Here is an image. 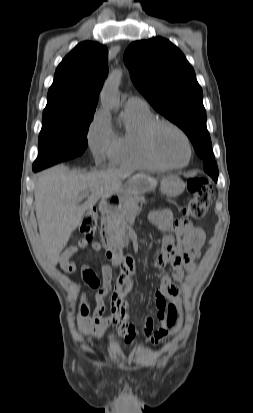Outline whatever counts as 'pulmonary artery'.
Listing matches in <instances>:
<instances>
[{
  "label": "pulmonary artery",
  "mask_w": 253,
  "mask_h": 413,
  "mask_svg": "<svg viewBox=\"0 0 253 413\" xmlns=\"http://www.w3.org/2000/svg\"><path fill=\"white\" fill-rule=\"evenodd\" d=\"M125 107L134 109H146L148 108V105L143 99L132 96L126 101Z\"/></svg>",
  "instance_id": "e3ab8cb5"
}]
</instances>
